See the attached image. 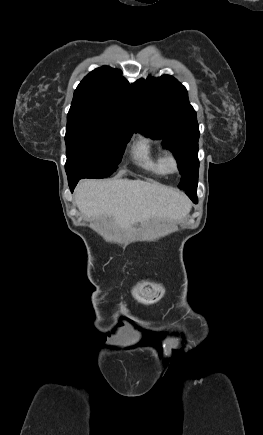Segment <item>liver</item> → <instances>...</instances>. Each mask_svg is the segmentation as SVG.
<instances>
[{
    "label": "liver",
    "mask_w": 263,
    "mask_h": 435,
    "mask_svg": "<svg viewBox=\"0 0 263 435\" xmlns=\"http://www.w3.org/2000/svg\"><path fill=\"white\" fill-rule=\"evenodd\" d=\"M75 203L87 217H113L127 229L150 218L180 220L191 205L178 190L141 180H83L75 190Z\"/></svg>",
    "instance_id": "liver-1"
}]
</instances>
